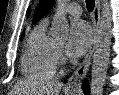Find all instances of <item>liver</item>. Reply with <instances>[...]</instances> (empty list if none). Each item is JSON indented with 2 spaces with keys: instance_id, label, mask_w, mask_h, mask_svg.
Wrapping results in <instances>:
<instances>
[{
  "instance_id": "obj_1",
  "label": "liver",
  "mask_w": 119,
  "mask_h": 95,
  "mask_svg": "<svg viewBox=\"0 0 119 95\" xmlns=\"http://www.w3.org/2000/svg\"><path fill=\"white\" fill-rule=\"evenodd\" d=\"M63 84L56 79H40L31 86L28 82H20L17 87L25 90V93L32 95H59Z\"/></svg>"
}]
</instances>
